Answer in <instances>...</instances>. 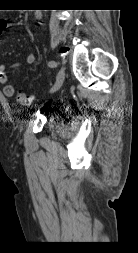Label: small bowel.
Wrapping results in <instances>:
<instances>
[{
	"label": "small bowel",
	"instance_id": "small-bowel-1",
	"mask_svg": "<svg viewBox=\"0 0 138 253\" xmlns=\"http://www.w3.org/2000/svg\"><path fill=\"white\" fill-rule=\"evenodd\" d=\"M8 22L6 20H0V35L5 31ZM35 61V55L32 52H29L25 56V62L27 64H33ZM20 67V63L12 64L9 69L15 70ZM0 83L3 85V93L7 97H12L15 94L14 86L9 82V75L7 67L4 64H0Z\"/></svg>",
	"mask_w": 138,
	"mask_h": 253
}]
</instances>
